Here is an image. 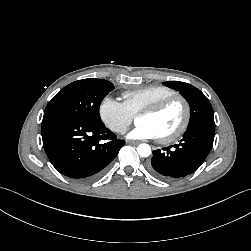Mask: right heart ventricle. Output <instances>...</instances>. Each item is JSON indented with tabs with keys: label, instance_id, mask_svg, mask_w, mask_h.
I'll list each match as a JSON object with an SVG mask.
<instances>
[{
	"label": "right heart ventricle",
	"instance_id": "obj_1",
	"mask_svg": "<svg viewBox=\"0 0 251 251\" xmlns=\"http://www.w3.org/2000/svg\"><path fill=\"white\" fill-rule=\"evenodd\" d=\"M176 91L165 85H152L123 93L124 104L135 116L143 109L175 95Z\"/></svg>",
	"mask_w": 251,
	"mask_h": 251
}]
</instances>
